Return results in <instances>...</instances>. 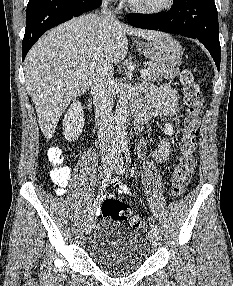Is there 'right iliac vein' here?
<instances>
[{"label": "right iliac vein", "instance_id": "obj_1", "mask_svg": "<svg viewBox=\"0 0 233 286\" xmlns=\"http://www.w3.org/2000/svg\"><path fill=\"white\" fill-rule=\"evenodd\" d=\"M111 165H112V164H111V159H110V158L104 159L103 162H102L103 172H104V173H107V172L110 170ZM94 224H95V222H94V219H93V218L90 219V220L87 222L86 227H85V232H86V234H90V233H91V231H92V229H93V227H94Z\"/></svg>", "mask_w": 233, "mask_h": 286}]
</instances>
